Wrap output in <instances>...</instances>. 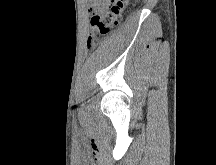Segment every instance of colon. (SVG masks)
<instances>
[{
  "label": "colon",
  "instance_id": "colon-1",
  "mask_svg": "<svg viewBox=\"0 0 216 165\" xmlns=\"http://www.w3.org/2000/svg\"><path fill=\"white\" fill-rule=\"evenodd\" d=\"M130 0H108V8L90 19L93 33L88 38V46H92L99 38L109 34L121 21Z\"/></svg>",
  "mask_w": 216,
  "mask_h": 165
}]
</instances>
